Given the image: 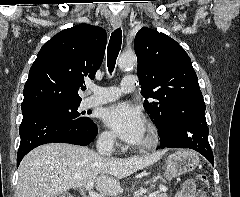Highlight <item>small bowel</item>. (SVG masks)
<instances>
[{"label": "small bowel", "instance_id": "1", "mask_svg": "<svg viewBox=\"0 0 240 197\" xmlns=\"http://www.w3.org/2000/svg\"><path fill=\"white\" fill-rule=\"evenodd\" d=\"M176 197H207V194L202 190H197L194 183L187 182L183 185Z\"/></svg>", "mask_w": 240, "mask_h": 197}]
</instances>
